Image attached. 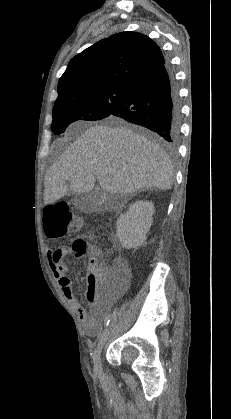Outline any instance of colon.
<instances>
[{"label": "colon", "instance_id": "5ec220e1", "mask_svg": "<svg viewBox=\"0 0 231 419\" xmlns=\"http://www.w3.org/2000/svg\"><path fill=\"white\" fill-rule=\"evenodd\" d=\"M45 227L52 235L66 234L71 230H80L84 227V222L70 211L65 202H57L47 207L45 211ZM74 255L82 257L90 251L89 244L83 239H77L72 245ZM95 255L98 250H93ZM102 276L115 285L122 278L126 277L125 266L121 263L116 264L113 269L108 271L100 261L93 260L88 264V283L91 288L98 287Z\"/></svg>", "mask_w": 231, "mask_h": 419}]
</instances>
